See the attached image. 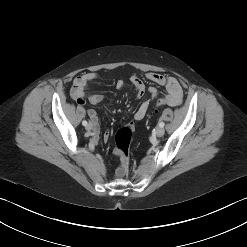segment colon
<instances>
[{"mask_svg": "<svg viewBox=\"0 0 247 247\" xmlns=\"http://www.w3.org/2000/svg\"><path fill=\"white\" fill-rule=\"evenodd\" d=\"M169 105L166 98L158 99L156 102V108H160ZM133 134V126L121 128L115 136V153L120 159L119 173L125 174L129 167V148Z\"/></svg>", "mask_w": 247, "mask_h": 247, "instance_id": "colon-1", "label": "colon"}]
</instances>
